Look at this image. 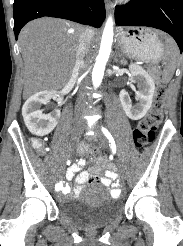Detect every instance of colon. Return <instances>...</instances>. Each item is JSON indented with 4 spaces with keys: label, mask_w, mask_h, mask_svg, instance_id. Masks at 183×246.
I'll return each instance as SVG.
<instances>
[{
    "label": "colon",
    "mask_w": 183,
    "mask_h": 246,
    "mask_svg": "<svg viewBox=\"0 0 183 246\" xmlns=\"http://www.w3.org/2000/svg\"><path fill=\"white\" fill-rule=\"evenodd\" d=\"M166 97V87L159 85L156 90L153 105L148 114L139 122L133 137L137 147L141 148L153 141L155 132L163 119V106ZM33 146L37 150L42 149V144L35 140ZM101 149H93V154H101Z\"/></svg>",
    "instance_id": "5ec220e1"
}]
</instances>
